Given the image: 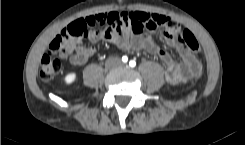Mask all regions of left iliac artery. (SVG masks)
Here are the masks:
<instances>
[{
	"label": "left iliac artery",
	"instance_id": "left-iliac-artery-1",
	"mask_svg": "<svg viewBox=\"0 0 245 145\" xmlns=\"http://www.w3.org/2000/svg\"><path fill=\"white\" fill-rule=\"evenodd\" d=\"M129 65H130L131 67H135V66H136V62L133 61V60H131V61L129 62Z\"/></svg>",
	"mask_w": 245,
	"mask_h": 145
}]
</instances>
